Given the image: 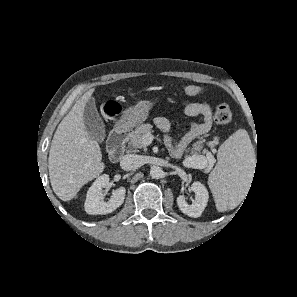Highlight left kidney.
<instances>
[{"label": "left kidney", "instance_id": "obj_1", "mask_svg": "<svg viewBox=\"0 0 297 297\" xmlns=\"http://www.w3.org/2000/svg\"><path fill=\"white\" fill-rule=\"evenodd\" d=\"M192 190L195 192V200L189 205L183 195L177 197V204L179 209L190 217L197 218L204 211L207 206L209 194L206 187L200 182H194L192 184Z\"/></svg>", "mask_w": 297, "mask_h": 297}]
</instances>
